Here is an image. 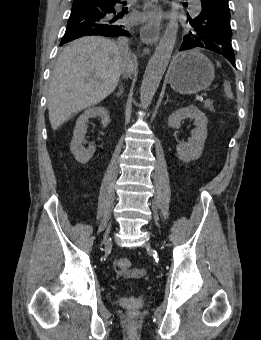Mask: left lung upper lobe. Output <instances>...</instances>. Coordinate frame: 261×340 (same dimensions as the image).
<instances>
[{
    "mask_svg": "<svg viewBox=\"0 0 261 340\" xmlns=\"http://www.w3.org/2000/svg\"><path fill=\"white\" fill-rule=\"evenodd\" d=\"M219 18L216 16L213 21L204 24L192 22L193 29L187 35L198 36L201 47L224 55L226 51L232 49V31L230 19Z\"/></svg>",
    "mask_w": 261,
    "mask_h": 340,
    "instance_id": "5c2ea615",
    "label": "left lung upper lobe"
}]
</instances>
